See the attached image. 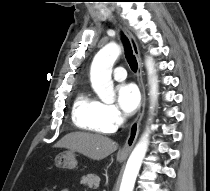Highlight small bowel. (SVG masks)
<instances>
[{"mask_svg": "<svg viewBox=\"0 0 210 191\" xmlns=\"http://www.w3.org/2000/svg\"><path fill=\"white\" fill-rule=\"evenodd\" d=\"M61 191H69L68 189H63V190H61Z\"/></svg>", "mask_w": 210, "mask_h": 191, "instance_id": "c3829d8e", "label": "small bowel"}]
</instances>
